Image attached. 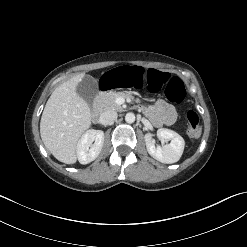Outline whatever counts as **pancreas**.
Wrapping results in <instances>:
<instances>
[{"label":"pancreas","mask_w":247,"mask_h":247,"mask_svg":"<svg viewBox=\"0 0 247 247\" xmlns=\"http://www.w3.org/2000/svg\"><path fill=\"white\" fill-rule=\"evenodd\" d=\"M117 97H124V98H129L132 99V96L126 93L122 92H107V93H101L98 99V102L100 106L103 109H113L116 111H122L123 107L116 104L115 100ZM139 100H137L138 102Z\"/></svg>","instance_id":"1"}]
</instances>
